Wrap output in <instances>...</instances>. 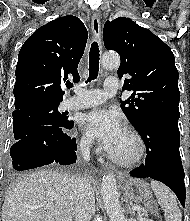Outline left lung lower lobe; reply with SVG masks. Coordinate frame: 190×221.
I'll return each mask as SVG.
<instances>
[{"instance_id": "0a47b994", "label": "left lung lower lobe", "mask_w": 190, "mask_h": 221, "mask_svg": "<svg viewBox=\"0 0 190 221\" xmlns=\"http://www.w3.org/2000/svg\"><path fill=\"white\" fill-rule=\"evenodd\" d=\"M146 144V160L130 172L132 177H150L170 187L185 206L184 170L179 152L178 118L155 115L137 129Z\"/></svg>"}]
</instances>
